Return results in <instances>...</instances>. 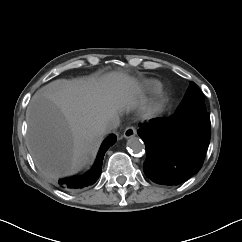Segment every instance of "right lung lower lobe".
<instances>
[{"label":"right lung lower lobe","mask_w":242,"mask_h":242,"mask_svg":"<svg viewBox=\"0 0 242 242\" xmlns=\"http://www.w3.org/2000/svg\"><path fill=\"white\" fill-rule=\"evenodd\" d=\"M115 141V135L107 137L99 150L98 156L93 167L87 173L79 177L59 179V186L68 191H75L93 184L101 174V167L105 152L108 150L110 146H112L115 143Z\"/></svg>","instance_id":"98d812e1"}]
</instances>
